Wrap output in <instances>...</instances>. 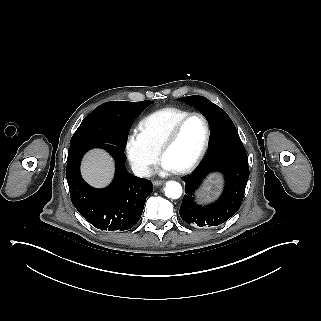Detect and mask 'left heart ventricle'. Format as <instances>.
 Instances as JSON below:
<instances>
[{
  "instance_id": "1",
  "label": "left heart ventricle",
  "mask_w": 321,
  "mask_h": 321,
  "mask_svg": "<svg viewBox=\"0 0 321 321\" xmlns=\"http://www.w3.org/2000/svg\"><path fill=\"white\" fill-rule=\"evenodd\" d=\"M204 124L199 117L188 120L179 130L163 157L177 169L188 166L198 154L204 140Z\"/></svg>"
}]
</instances>
